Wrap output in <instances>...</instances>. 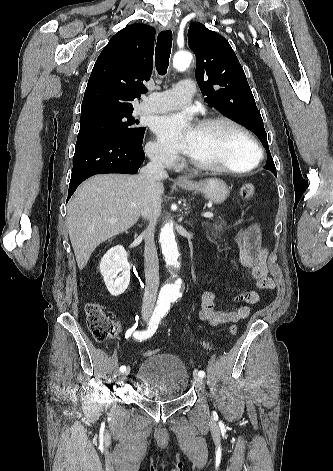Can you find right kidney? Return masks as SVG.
<instances>
[{"mask_svg":"<svg viewBox=\"0 0 333 471\" xmlns=\"http://www.w3.org/2000/svg\"><path fill=\"white\" fill-rule=\"evenodd\" d=\"M100 272L112 296L125 292L130 282V265L123 246L118 245L107 251L101 259Z\"/></svg>","mask_w":333,"mask_h":471,"instance_id":"1","label":"right kidney"}]
</instances>
